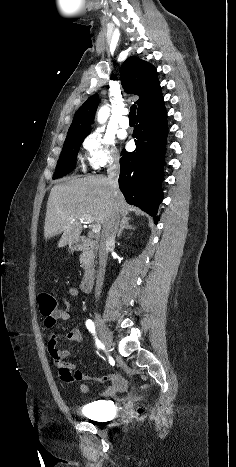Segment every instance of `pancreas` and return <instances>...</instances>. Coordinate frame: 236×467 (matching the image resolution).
Instances as JSON below:
<instances>
[{"mask_svg":"<svg viewBox=\"0 0 236 467\" xmlns=\"http://www.w3.org/2000/svg\"><path fill=\"white\" fill-rule=\"evenodd\" d=\"M94 253L92 251H85L80 257L81 267L87 269L94 262Z\"/></svg>","mask_w":236,"mask_h":467,"instance_id":"pancreas-1","label":"pancreas"}]
</instances>
